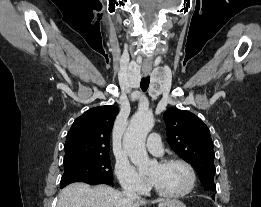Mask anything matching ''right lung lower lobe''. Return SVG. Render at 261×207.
<instances>
[{
    "label": "right lung lower lobe",
    "mask_w": 261,
    "mask_h": 207,
    "mask_svg": "<svg viewBox=\"0 0 261 207\" xmlns=\"http://www.w3.org/2000/svg\"><path fill=\"white\" fill-rule=\"evenodd\" d=\"M85 183H88L90 185H96V184H108V185H112L113 184V180H103V179H99V180H88L85 181ZM66 186V185H65ZM65 186H61V188L65 187Z\"/></svg>",
    "instance_id": "1"
}]
</instances>
